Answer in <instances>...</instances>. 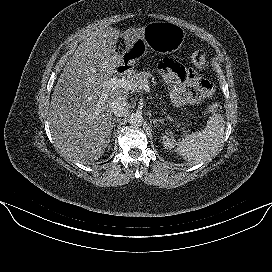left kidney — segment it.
Wrapping results in <instances>:
<instances>
[{
  "mask_svg": "<svg viewBox=\"0 0 272 272\" xmlns=\"http://www.w3.org/2000/svg\"><path fill=\"white\" fill-rule=\"evenodd\" d=\"M161 139H162V144L165 147V149L171 150L174 147L173 146V136L171 135V133L165 132L164 134H162Z\"/></svg>",
  "mask_w": 272,
  "mask_h": 272,
  "instance_id": "1",
  "label": "left kidney"
}]
</instances>
